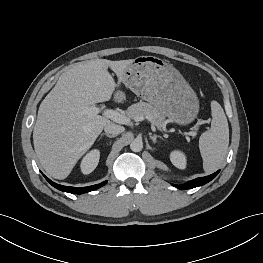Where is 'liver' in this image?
Listing matches in <instances>:
<instances>
[{
	"label": "liver",
	"instance_id": "1",
	"mask_svg": "<svg viewBox=\"0 0 263 263\" xmlns=\"http://www.w3.org/2000/svg\"><path fill=\"white\" fill-rule=\"evenodd\" d=\"M132 61L81 62L64 72L41 102L33 142L37 157L50 176L65 179L103 128L111 123L99 114H84L83 110L110 100ZM108 68L117 75V83Z\"/></svg>",
	"mask_w": 263,
	"mask_h": 263
}]
</instances>
